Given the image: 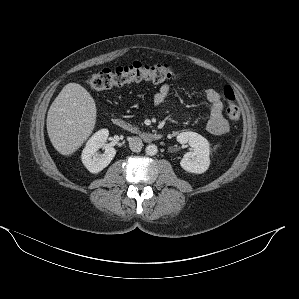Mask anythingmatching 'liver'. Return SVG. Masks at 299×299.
I'll list each match as a JSON object with an SVG mask.
<instances>
[{
	"instance_id": "obj_1",
	"label": "liver",
	"mask_w": 299,
	"mask_h": 299,
	"mask_svg": "<svg viewBox=\"0 0 299 299\" xmlns=\"http://www.w3.org/2000/svg\"><path fill=\"white\" fill-rule=\"evenodd\" d=\"M96 116V104L89 92L77 83L65 85L47 115L53 147L62 155H72L92 133Z\"/></svg>"
}]
</instances>
